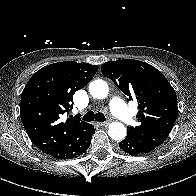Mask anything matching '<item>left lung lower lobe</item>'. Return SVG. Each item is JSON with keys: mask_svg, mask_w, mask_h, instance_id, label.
Instances as JSON below:
<instances>
[{"mask_svg": "<svg viewBox=\"0 0 196 196\" xmlns=\"http://www.w3.org/2000/svg\"><path fill=\"white\" fill-rule=\"evenodd\" d=\"M119 147L121 150L130 154L131 156L149 153L155 149V147L139 142L129 136L119 143Z\"/></svg>", "mask_w": 196, "mask_h": 196, "instance_id": "1", "label": "left lung lower lobe"}]
</instances>
